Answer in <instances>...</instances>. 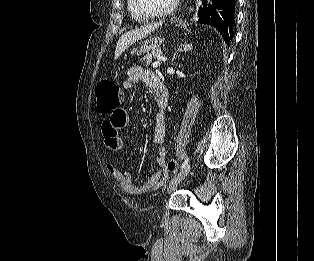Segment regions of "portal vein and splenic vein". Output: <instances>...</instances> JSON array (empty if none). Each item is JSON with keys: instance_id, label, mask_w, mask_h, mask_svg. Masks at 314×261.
I'll return each mask as SVG.
<instances>
[{"instance_id": "1", "label": "portal vein and splenic vein", "mask_w": 314, "mask_h": 261, "mask_svg": "<svg viewBox=\"0 0 314 261\" xmlns=\"http://www.w3.org/2000/svg\"><path fill=\"white\" fill-rule=\"evenodd\" d=\"M162 60H166V59H165L164 57H162V56H158L157 61H155V62L152 64L153 68L159 67V66H160V62H161Z\"/></svg>"}]
</instances>
